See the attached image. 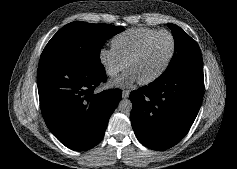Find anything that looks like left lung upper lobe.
Here are the masks:
<instances>
[{
    "mask_svg": "<svg viewBox=\"0 0 237 169\" xmlns=\"http://www.w3.org/2000/svg\"><path fill=\"white\" fill-rule=\"evenodd\" d=\"M175 42L174 55L166 71L159 77H169L184 71L202 68L203 61L198 44L180 27L168 23Z\"/></svg>",
    "mask_w": 237,
    "mask_h": 169,
    "instance_id": "left-lung-upper-lobe-1",
    "label": "left lung upper lobe"
}]
</instances>
